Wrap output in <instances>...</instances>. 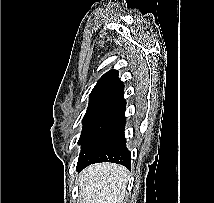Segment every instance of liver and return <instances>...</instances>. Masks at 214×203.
Instances as JSON below:
<instances>
[{"label": "liver", "mask_w": 214, "mask_h": 203, "mask_svg": "<svg viewBox=\"0 0 214 203\" xmlns=\"http://www.w3.org/2000/svg\"><path fill=\"white\" fill-rule=\"evenodd\" d=\"M128 180L129 172L124 166L94 164L79 176L80 194L84 203H123Z\"/></svg>", "instance_id": "obj_1"}]
</instances>
